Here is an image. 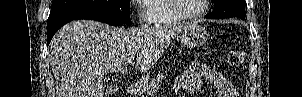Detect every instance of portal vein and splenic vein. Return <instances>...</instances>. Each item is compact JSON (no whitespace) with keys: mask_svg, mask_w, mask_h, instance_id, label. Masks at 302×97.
<instances>
[{"mask_svg":"<svg viewBox=\"0 0 302 97\" xmlns=\"http://www.w3.org/2000/svg\"><path fill=\"white\" fill-rule=\"evenodd\" d=\"M133 61H134V57H129V58L127 59V63H133Z\"/></svg>","mask_w":302,"mask_h":97,"instance_id":"1","label":"portal vein and splenic vein"}]
</instances>
